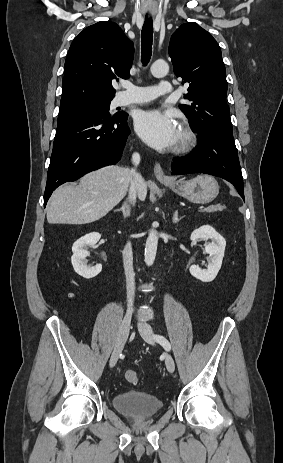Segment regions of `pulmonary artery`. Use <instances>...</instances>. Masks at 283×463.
<instances>
[{
	"mask_svg": "<svg viewBox=\"0 0 283 463\" xmlns=\"http://www.w3.org/2000/svg\"><path fill=\"white\" fill-rule=\"evenodd\" d=\"M122 87L125 90L116 96L114 101L116 106L145 103L173 92V87L168 81H161L158 85L148 87H139L131 83L124 84Z\"/></svg>",
	"mask_w": 283,
	"mask_h": 463,
	"instance_id": "obj_1",
	"label": "pulmonary artery"
}]
</instances>
